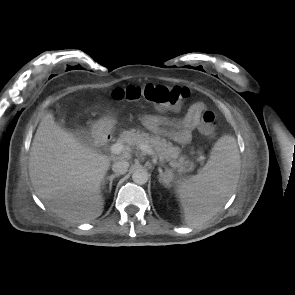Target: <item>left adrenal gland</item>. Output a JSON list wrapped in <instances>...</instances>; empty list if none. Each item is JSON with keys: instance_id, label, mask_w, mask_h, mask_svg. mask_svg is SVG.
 <instances>
[{"instance_id": "1", "label": "left adrenal gland", "mask_w": 295, "mask_h": 295, "mask_svg": "<svg viewBox=\"0 0 295 295\" xmlns=\"http://www.w3.org/2000/svg\"><path fill=\"white\" fill-rule=\"evenodd\" d=\"M158 170H159V182L161 184H163L165 187H168L169 183H168V181L166 179V175L163 173V171H162V169L160 167H159ZM167 172H169V171L167 170Z\"/></svg>"}]
</instances>
